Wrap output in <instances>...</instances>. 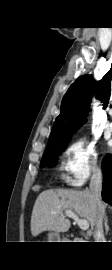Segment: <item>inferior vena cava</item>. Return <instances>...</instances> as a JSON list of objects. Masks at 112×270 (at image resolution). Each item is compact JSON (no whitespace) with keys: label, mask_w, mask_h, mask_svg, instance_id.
<instances>
[{"label":"inferior vena cava","mask_w":112,"mask_h":270,"mask_svg":"<svg viewBox=\"0 0 112 270\" xmlns=\"http://www.w3.org/2000/svg\"><path fill=\"white\" fill-rule=\"evenodd\" d=\"M101 191H102V171L101 169H96L94 170L90 181V192L96 204V214H97L94 231L95 242H106L103 233V219L105 216V209L102 203Z\"/></svg>","instance_id":"1"}]
</instances>
